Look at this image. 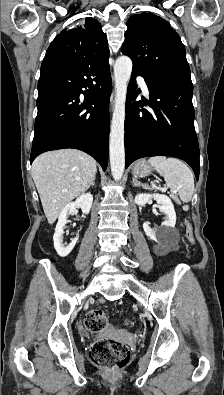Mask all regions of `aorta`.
Segmentation results:
<instances>
[{
	"label": "aorta",
	"mask_w": 224,
	"mask_h": 395,
	"mask_svg": "<svg viewBox=\"0 0 224 395\" xmlns=\"http://www.w3.org/2000/svg\"><path fill=\"white\" fill-rule=\"evenodd\" d=\"M132 72V61L120 56L114 65L115 106L110 127L109 154L114 180L122 178L125 167L124 122L127 87Z\"/></svg>",
	"instance_id": "aorta-1"
}]
</instances>
